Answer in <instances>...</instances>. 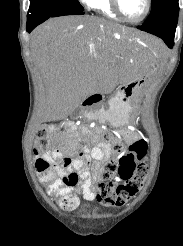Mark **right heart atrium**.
<instances>
[{
    "label": "right heart atrium",
    "instance_id": "obj_1",
    "mask_svg": "<svg viewBox=\"0 0 183 246\" xmlns=\"http://www.w3.org/2000/svg\"><path fill=\"white\" fill-rule=\"evenodd\" d=\"M83 3H85V4H89V2H90V0H81Z\"/></svg>",
    "mask_w": 183,
    "mask_h": 246
}]
</instances>
